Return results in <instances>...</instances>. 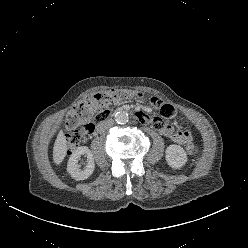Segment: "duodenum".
Wrapping results in <instances>:
<instances>
[{"label": "duodenum", "instance_id": "duodenum-1", "mask_svg": "<svg viewBox=\"0 0 248 248\" xmlns=\"http://www.w3.org/2000/svg\"><path fill=\"white\" fill-rule=\"evenodd\" d=\"M137 116L142 120V118H143L144 115H143V113L138 112V113H137Z\"/></svg>", "mask_w": 248, "mask_h": 248}]
</instances>
